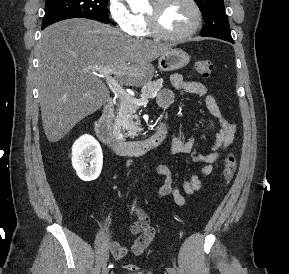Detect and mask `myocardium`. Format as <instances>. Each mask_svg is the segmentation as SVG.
I'll return each mask as SVG.
<instances>
[{
  "mask_svg": "<svg viewBox=\"0 0 289 274\" xmlns=\"http://www.w3.org/2000/svg\"><path fill=\"white\" fill-rule=\"evenodd\" d=\"M169 1L170 0H152L150 8L145 13L150 32L158 38L170 41H181L194 35L200 28L202 22V11L197 1L187 0L194 10L195 20L188 30L177 34L166 32L160 24V13Z\"/></svg>",
  "mask_w": 289,
  "mask_h": 274,
  "instance_id": "f54148a6",
  "label": "myocardium"
}]
</instances>
